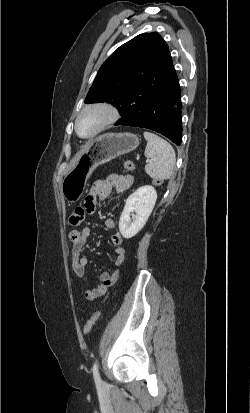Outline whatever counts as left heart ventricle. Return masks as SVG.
<instances>
[{
    "mask_svg": "<svg viewBox=\"0 0 250 413\" xmlns=\"http://www.w3.org/2000/svg\"><path fill=\"white\" fill-rule=\"evenodd\" d=\"M103 115L99 112H87L79 121V132L81 135L90 134L101 122Z\"/></svg>",
    "mask_w": 250,
    "mask_h": 413,
    "instance_id": "b2bd125f",
    "label": "left heart ventricle"
}]
</instances>
